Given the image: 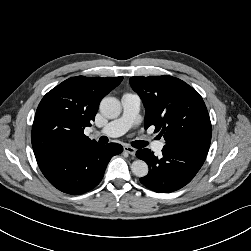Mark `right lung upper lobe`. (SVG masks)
Masks as SVG:
<instances>
[{"mask_svg": "<svg viewBox=\"0 0 251 251\" xmlns=\"http://www.w3.org/2000/svg\"><path fill=\"white\" fill-rule=\"evenodd\" d=\"M123 77L69 78L41 100L32 127L35 156L54 154L97 144L84 135L94 121L100 101Z\"/></svg>", "mask_w": 251, "mask_h": 251, "instance_id": "cb5924a9", "label": "right lung upper lobe"}]
</instances>
